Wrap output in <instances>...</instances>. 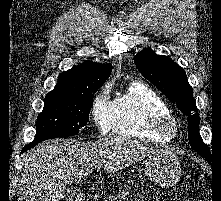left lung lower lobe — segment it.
<instances>
[{"mask_svg":"<svg viewBox=\"0 0 221 201\" xmlns=\"http://www.w3.org/2000/svg\"><path fill=\"white\" fill-rule=\"evenodd\" d=\"M206 160L210 163L211 162V159L210 158H206Z\"/></svg>","mask_w":221,"mask_h":201,"instance_id":"obj_1","label":"left lung lower lobe"}]
</instances>
